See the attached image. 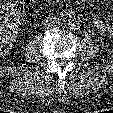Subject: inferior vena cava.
Instances as JSON below:
<instances>
[{"instance_id":"602c4592","label":"inferior vena cava","mask_w":113,"mask_h":113,"mask_svg":"<svg viewBox=\"0 0 113 113\" xmlns=\"http://www.w3.org/2000/svg\"><path fill=\"white\" fill-rule=\"evenodd\" d=\"M42 24L45 29L58 28L61 25V20L55 16H48L44 19Z\"/></svg>"}]
</instances>
